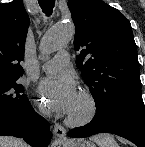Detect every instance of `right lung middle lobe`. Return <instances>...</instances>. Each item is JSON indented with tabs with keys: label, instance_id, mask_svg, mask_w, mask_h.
Segmentation results:
<instances>
[{
	"label": "right lung middle lobe",
	"instance_id": "obj_1",
	"mask_svg": "<svg viewBox=\"0 0 145 147\" xmlns=\"http://www.w3.org/2000/svg\"><path fill=\"white\" fill-rule=\"evenodd\" d=\"M19 76L0 78V114L20 112L27 107L29 100L18 83Z\"/></svg>",
	"mask_w": 145,
	"mask_h": 147
}]
</instances>
